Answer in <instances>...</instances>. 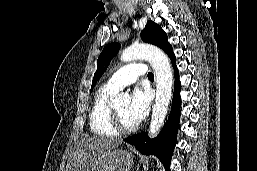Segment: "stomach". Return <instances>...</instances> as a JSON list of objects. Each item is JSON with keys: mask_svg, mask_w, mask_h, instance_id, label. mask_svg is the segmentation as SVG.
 Masks as SVG:
<instances>
[{"mask_svg": "<svg viewBox=\"0 0 257 171\" xmlns=\"http://www.w3.org/2000/svg\"><path fill=\"white\" fill-rule=\"evenodd\" d=\"M134 163L132 152L115 149L105 153L93 171H130Z\"/></svg>", "mask_w": 257, "mask_h": 171, "instance_id": "0dacf381", "label": "stomach"}]
</instances>
